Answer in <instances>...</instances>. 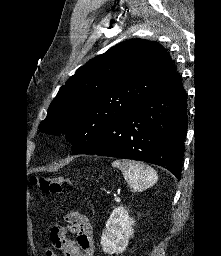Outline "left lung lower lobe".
Instances as JSON below:
<instances>
[{
    "label": "left lung lower lobe",
    "mask_w": 221,
    "mask_h": 256,
    "mask_svg": "<svg viewBox=\"0 0 221 256\" xmlns=\"http://www.w3.org/2000/svg\"><path fill=\"white\" fill-rule=\"evenodd\" d=\"M186 92L177 73L135 108L101 127L74 154L134 159L162 166L180 179L187 132Z\"/></svg>",
    "instance_id": "0a47b994"
}]
</instances>
